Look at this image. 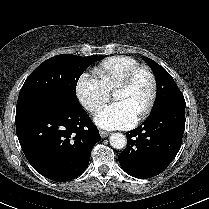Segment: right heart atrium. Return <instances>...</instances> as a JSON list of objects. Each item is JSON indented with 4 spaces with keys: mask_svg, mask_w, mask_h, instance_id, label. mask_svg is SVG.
<instances>
[{
    "mask_svg": "<svg viewBox=\"0 0 209 209\" xmlns=\"http://www.w3.org/2000/svg\"><path fill=\"white\" fill-rule=\"evenodd\" d=\"M76 94L83 107L91 113L98 112L110 98V91L101 80L88 72L80 75Z\"/></svg>",
    "mask_w": 209,
    "mask_h": 209,
    "instance_id": "right-heart-atrium-1",
    "label": "right heart atrium"
}]
</instances>
